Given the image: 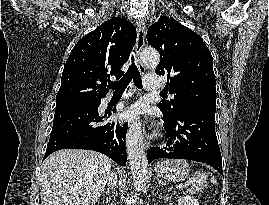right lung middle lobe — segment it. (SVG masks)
<instances>
[{"instance_id":"1","label":"right lung middle lobe","mask_w":269,"mask_h":205,"mask_svg":"<svg viewBox=\"0 0 269 205\" xmlns=\"http://www.w3.org/2000/svg\"><path fill=\"white\" fill-rule=\"evenodd\" d=\"M99 103L100 102L89 103V104H81V105L71 106V107H67V108H75V107H97L99 105Z\"/></svg>"}]
</instances>
